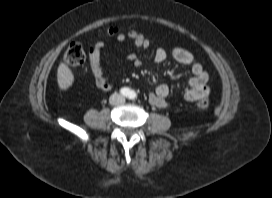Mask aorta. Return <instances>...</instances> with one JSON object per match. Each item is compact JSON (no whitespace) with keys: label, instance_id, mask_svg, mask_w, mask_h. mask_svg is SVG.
I'll return each instance as SVG.
<instances>
[{"label":"aorta","instance_id":"aorta-1","mask_svg":"<svg viewBox=\"0 0 272 198\" xmlns=\"http://www.w3.org/2000/svg\"><path fill=\"white\" fill-rule=\"evenodd\" d=\"M128 96H129L130 98H135V97H136L135 91L130 90L129 93H128Z\"/></svg>","mask_w":272,"mask_h":198}]
</instances>
